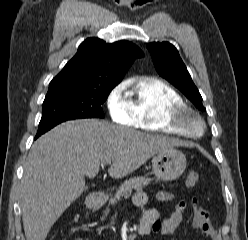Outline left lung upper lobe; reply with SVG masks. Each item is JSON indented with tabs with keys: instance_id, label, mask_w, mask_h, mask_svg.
Masks as SVG:
<instances>
[{
	"instance_id": "5c2ea615",
	"label": "left lung upper lobe",
	"mask_w": 248,
	"mask_h": 240,
	"mask_svg": "<svg viewBox=\"0 0 248 240\" xmlns=\"http://www.w3.org/2000/svg\"><path fill=\"white\" fill-rule=\"evenodd\" d=\"M147 48L159 75L183 92L199 110L205 111L202 105V97L193 83L178 50L168 42L149 43Z\"/></svg>"
}]
</instances>
